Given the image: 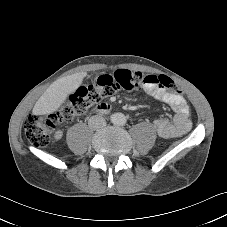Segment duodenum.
Masks as SVG:
<instances>
[{"instance_id":"duodenum-1","label":"duodenum","mask_w":227,"mask_h":227,"mask_svg":"<svg viewBox=\"0 0 227 227\" xmlns=\"http://www.w3.org/2000/svg\"><path fill=\"white\" fill-rule=\"evenodd\" d=\"M96 111L99 113H107L110 111V106L106 103H102L96 107Z\"/></svg>"}]
</instances>
